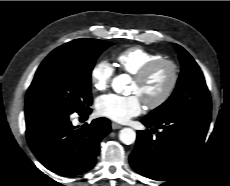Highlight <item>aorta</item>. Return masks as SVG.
I'll list each match as a JSON object with an SVG mask.
<instances>
[{
	"label": "aorta",
	"instance_id": "obj_1",
	"mask_svg": "<svg viewBox=\"0 0 230 186\" xmlns=\"http://www.w3.org/2000/svg\"><path fill=\"white\" fill-rule=\"evenodd\" d=\"M126 84V75H119L113 79L112 88L115 92L122 93ZM119 139L126 145L132 144L136 140V132L131 128H123L119 133Z\"/></svg>",
	"mask_w": 230,
	"mask_h": 186
}]
</instances>
